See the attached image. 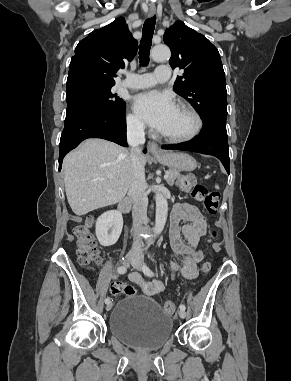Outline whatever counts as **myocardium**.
I'll return each instance as SVG.
<instances>
[{"instance_id":"obj_1","label":"myocardium","mask_w":291,"mask_h":381,"mask_svg":"<svg viewBox=\"0 0 291 381\" xmlns=\"http://www.w3.org/2000/svg\"><path fill=\"white\" fill-rule=\"evenodd\" d=\"M177 107H180V108L188 111L193 116L195 124H194V127H193L192 131L190 133L186 134V135H183V136H171V135H167V134L161 133V137H163L164 139H166V140H168L170 142H174V143H185V142L192 141L202 131V128H203V119H202V116L198 112V110L194 106L189 104V103L180 102L177 105Z\"/></svg>"}]
</instances>
